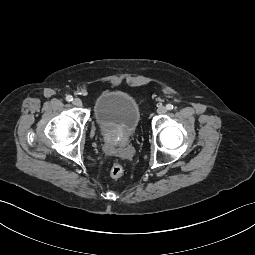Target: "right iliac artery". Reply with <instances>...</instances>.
<instances>
[{"label": "right iliac artery", "mask_w": 255, "mask_h": 255, "mask_svg": "<svg viewBox=\"0 0 255 255\" xmlns=\"http://www.w3.org/2000/svg\"><path fill=\"white\" fill-rule=\"evenodd\" d=\"M66 100L68 102H71L73 100V97L71 95L66 96Z\"/></svg>", "instance_id": "82829eb1"}]
</instances>
